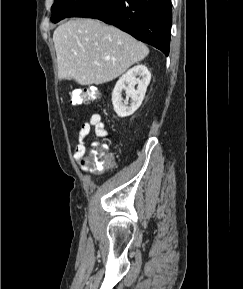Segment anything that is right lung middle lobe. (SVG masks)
I'll list each match as a JSON object with an SVG mask.
<instances>
[{
  "instance_id": "obj_1",
  "label": "right lung middle lobe",
  "mask_w": 243,
  "mask_h": 289,
  "mask_svg": "<svg viewBox=\"0 0 243 289\" xmlns=\"http://www.w3.org/2000/svg\"><path fill=\"white\" fill-rule=\"evenodd\" d=\"M85 0H55L51 7V21L57 23L67 18L75 9H77Z\"/></svg>"
}]
</instances>
